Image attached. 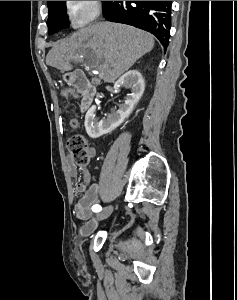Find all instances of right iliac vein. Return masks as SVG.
Here are the masks:
<instances>
[{"label":"right iliac vein","instance_id":"right-iliac-vein-1","mask_svg":"<svg viewBox=\"0 0 237 300\" xmlns=\"http://www.w3.org/2000/svg\"><path fill=\"white\" fill-rule=\"evenodd\" d=\"M112 212H113V206L110 205V206L106 207L102 212H100L96 215L97 219L104 220V219L108 218Z\"/></svg>","mask_w":237,"mask_h":300}]
</instances>
